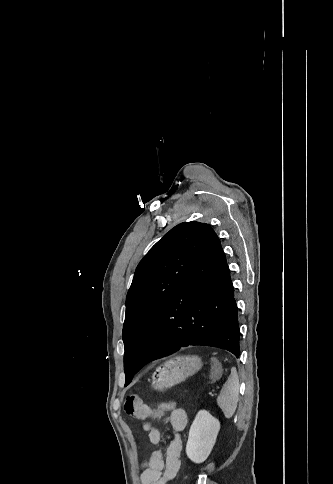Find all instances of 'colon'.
I'll list each match as a JSON object with an SVG mask.
<instances>
[{
    "instance_id": "obj_1",
    "label": "colon",
    "mask_w": 333,
    "mask_h": 484,
    "mask_svg": "<svg viewBox=\"0 0 333 484\" xmlns=\"http://www.w3.org/2000/svg\"><path fill=\"white\" fill-rule=\"evenodd\" d=\"M222 375V369L219 363L213 361L211 364V379L212 382H216L219 380V378ZM178 408L177 404L175 402H165L160 404L159 406L153 408L154 409V415L155 416H160L164 413H167L171 410H174Z\"/></svg>"
}]
</instances>
